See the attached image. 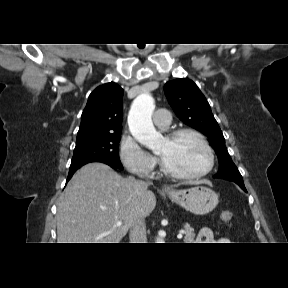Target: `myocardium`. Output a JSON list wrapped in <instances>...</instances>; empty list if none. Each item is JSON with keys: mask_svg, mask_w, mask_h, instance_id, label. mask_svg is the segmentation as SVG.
Segmentation results:
<instances>
[{"mask_svg": "<svg viewBox=\"0 0 288 288\" xmlns=\"http://www.w3.org/2000/svg\"><path fill=\"white\" fill-rule=\"evenodd\" d=\"M184 135H192L196 139L199 140V142L203 145L205 150L207 151L209 162L208 166L201 172L198 173H193V174H186V173H181L178 172L172 168H170L161 158H160V165L162 172L170 177L177 178V179H183V180H192V179H199L202 178L206 175H208L214 168L215 165V153L206 139V137L199 131L193 129V128H180L176 129L174 131H171L170 133L167 134L166 138L170 141H174L178 139L181 136Z\"/></svg>", "mask_w": 288, "mask_h": 288, "instance_id": "obj_1", "label": "myocardium"}]
</instances>
